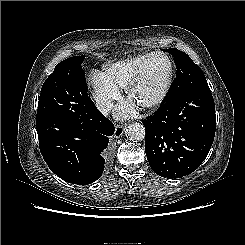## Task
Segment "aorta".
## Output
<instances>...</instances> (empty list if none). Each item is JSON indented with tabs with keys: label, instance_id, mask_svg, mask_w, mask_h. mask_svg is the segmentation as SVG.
Returning <instances> with one entry per match:
<instances>
[{
	"label": "aorta",
	"instance_id": "aorta-1",
	"mask_svg": "<svg viewBox=\"0 0 245 245\" xmlns=\"http://www.w3.org/2000/svg\"><path fill=\"white\" fill-rule=\"evenodd\" d=\"M126 134L131 141H140L145 138V128L140 123H132L126 129Z\"/></svg>",
	"mask_w": 245,
	"mask_h": 245
}]
</instances>
